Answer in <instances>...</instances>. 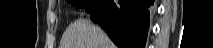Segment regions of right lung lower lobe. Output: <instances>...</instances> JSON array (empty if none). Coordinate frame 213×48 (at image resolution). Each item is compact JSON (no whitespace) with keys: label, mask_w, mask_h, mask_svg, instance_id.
<instances>
[{"label":"right lung lower lobe","mask_w":213,"mask_h":48,"mask_svg":"<svg viewBox=\"0 0 213 48\" xmlns=\"http://www.w3.org/2000/svg\"><path fill=\"white\" fill-rule=\"evenodd\" d=\"M154 0H97L89 13L119 48H144Z\"/></svg>","instance_id":"obj_1"}]
</instances>
